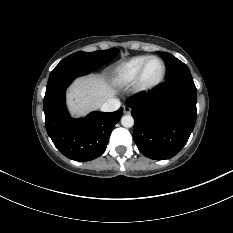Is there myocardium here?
Segmentation results:
<instances>
[{"mask_svg": "<svg viewBox=\"0 0 233 233\" xmlns=\"http://www.w3.org/2000/svg\"><path fill=\"white\" fill-rule=\"evenodd\" d=\"M152 59H157L161 62L162 64V73H161V76L159 77L158 80H156L155 82H152V83H146L144 81V73H145V69H146V66L148 64V62ZM166 72H167V67H166V63L165 61L159 57V56H155V55H152V56H149L142 64L137 76H136V79L134 81V90L135 92L137 93H147V92H150L152 90H154L155 88H157L165 79V76H166Z\"/></svg>", "mask_w": 233, "mask_h": 233, "instance_id": "myocardium-1", "label": "myocardium"}]
</instances>
